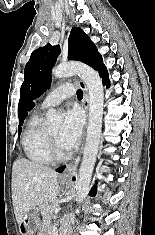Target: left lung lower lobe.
<instances>
[{
  "label": "left lung lower lobe",
  "mask_w": 155,
  "mask_h": 235,
  "mask_svg": "<svg viewBox=\"0 0 155 235\" xmlns=\"http://www.w3.org/2000/svg\"><path fill=\"white\" fill-rule=\"evenodd\" d=\"M99 75H100V77H102L103 85L109 86L108 72H107V68L105 66L102 69L99 70ZM64 168L65 167L58 168L57 172H62L64 170ZM73 180H74V178H73ZM96 192H97V190H96V187L94 186L91 189L89 195L93 197V196L96 195Z\"/></svg>",
  "instance_id": "obj_1"
}]
</instances>
